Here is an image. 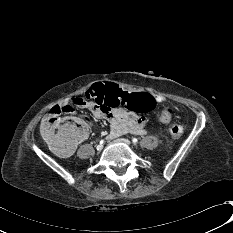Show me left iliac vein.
<instances>
[{"mask_svg": "<svg viewBox=\"0 0 233 233\" xmlns=\"http://www.w3.org/2000/svg\"><path fill=\"white\" fill-rule=\"evenodd\" d=\"M120 141H121L122 143L128 145V146L131 145V142H130L129 140H127V139H120Z\"/></svg>", "mask_w": 233, "mask_h": 233, "instance_id": "left-iliac-vein-1", "label": "left iliac vein"}]
</instances>
